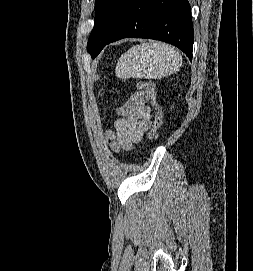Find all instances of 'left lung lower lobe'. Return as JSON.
<instances>
[{
  "mask_svg": "<svg viewBox=\"0 0 253 271\" xmlns=\"http://www.w3.org/2000/svg\"><path fill=\"white\" fill-rule=\"evenodd\" d=\"M126 37L167 42L181 49L192 61L193 24L188 0H131L103 48Z\"/></svg>",
  "mask_w": 253,
  "mask_h": 271,
  "instance_id": "left-lung-lower-lobe-1",
  "label": "left lung lower lobe"
}]
</instances>
